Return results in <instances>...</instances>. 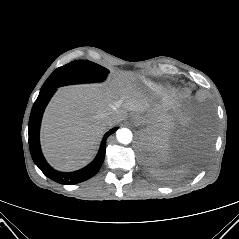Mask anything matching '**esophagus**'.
<instances>
[{
  "mask_svg": "<svg viewBox=\"0 0 239 239\" xmlns=\"http://www.w3.org/2000/svg\"><path fill=\"white\" fill-rule=\"evenodd\" d=\"M133 120L134 121H140L141 120V116L139 114H134L133 115Z\"/></svg>",
  "mask_w": 239,
  "mask_h": 239,
  "instance_id": "1",
  "label": "esophagus"
}]
</instances>
